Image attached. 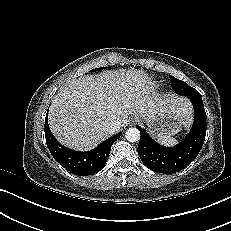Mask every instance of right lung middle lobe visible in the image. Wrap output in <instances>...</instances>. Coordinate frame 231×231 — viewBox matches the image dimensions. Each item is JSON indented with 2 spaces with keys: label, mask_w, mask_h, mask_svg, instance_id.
Returning a JSON list of instances; mask_svg holds the SVG:
<instances>
[{
  "label": "right lung middle lobe",
  "mask_w": 231,
  "mask_h": 231,
  "mask_svg": "<svg viewBox=\"0 0 231 231\" xmlns=\"http://www.w3.org/2000/svg\"><path fill=\"white\" fill-rule=\"evenodd\" d=\"M100 69H102V68H96V69H93V70H91V72H93V71H97V70H100Z\"/></svg>",
  "instance_id": "right-lung-middle-lobe-1"
}]
</instances>
